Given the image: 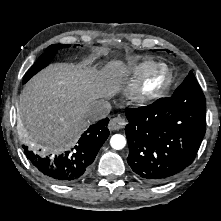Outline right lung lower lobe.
Instances as JSON below:
<instances>
[{
  "label": "right lung lower lobe",
  "mask_w": 221,
  "mask_h": 221,
  "mask_svg": "<svg viewBox=\"0 0 221 221\" xmlns=\"http://www.w3.org/2000/svg\"><path fill=\"white\" fill-rule=\"evenodd\" d=\"M109 119L91 125L71 150L48 154L23 145L32 165L46 178L60 184L75 182L90 170L99 149L109 136Z\"/></svg>",
  "instance_id": "obj_1"
}]
</instances>
